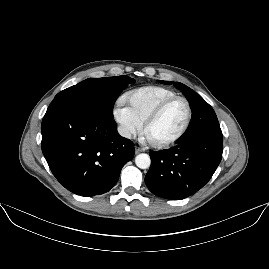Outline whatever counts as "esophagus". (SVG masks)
Segmentation results:
<instances>
[{
	"label": "esophagus",
	"instance_id": "esophagus-1",
	"mask_svg": "<svg viewBox=\"0 0 269 269\" xmlns=\"http://www.w3.org/2000/svg\"><path fill=\"white\" fill-rule=\"evenodd\" d=\"M145 149L144 148H140L138 146L135 147V153H140L143 152Z\"/></svg>",
	"mask_w": 269,
	"mask_h": 269
}]
</instances>
